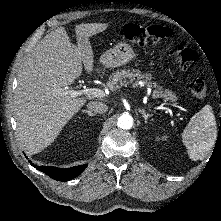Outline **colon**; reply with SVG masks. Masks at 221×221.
<instances>
[{
    "label": "colon",
    "instance_id": "obj_1",
    "mask_svg": "<svg viewBox=\"0 0 221 221\" xmlns=\"http://www.w3.org/2000/svg\"><path fill=\"white\" fill-rule=\"evenodd\" d=\"M173 34L171 28L161 25L142 26L129 23L120 29V36L134 44L140 46H151L163 40L170 38ZM179 67L182 71H189L197 61V53L182 45L178 44L172 51ZM189 90L196 98H202L207 93V86L203 79L194 78L189 83Z\"/></svg>",
    "mask_w": 221,
    "mask_h": 221
}]
</instances>
